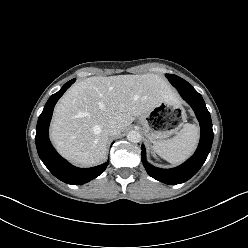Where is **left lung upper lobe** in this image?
Here are the masks:
<instances>
[{"instance_id": "obj_1", "label": "left lung upper lobe", "mask_w": 248, "mask_h": 248, "mask_svg": "<svg viewBox=\"0 0 248 248\" xmlns=\"http://www.w3.org/2000/svg\"><path fill=\"white\" fill-rule=\"evenodd\" d=\"M166 77L171 82V84L178 90L194 89L191 84L174 74H166Z\"/></svg>"}]
</instances>
